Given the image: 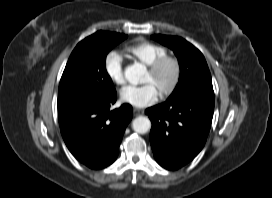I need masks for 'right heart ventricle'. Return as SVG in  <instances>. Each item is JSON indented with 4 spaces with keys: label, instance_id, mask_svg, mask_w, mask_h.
<instances>
[{
    "label": "right heart ventricle",
    "instance_id": "e07e8e85",
    "mask_svg": "<svg viewBox=\"0 0 272 198\" xmlns=\"http://www.w3.org/2000/svg\"><path fill=\"white\" fill-rule=\"evenodd\" d=\"M125 52L145 65H150L156 59L167 55V49L159 44L139 40L125 47Z\"/></svg>",
    "mask_w": 272,
    "mask_h": 198
}]
</instances>
